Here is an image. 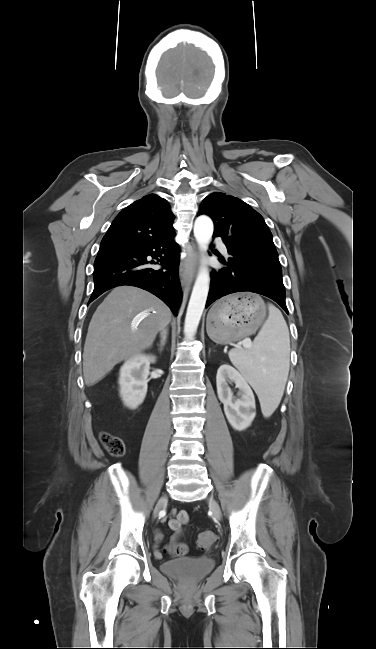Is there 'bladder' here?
Instances as JSON below:
<instances>
[{
    "label": "bladder",
    "instance_id": "1",
    "mask_svg": "<svg viewBox=\"0 0 376 649\" xmlns=\"http://www.w3.org/2000/svg\"><path fill=\"white\" fill-rule=\"evenodd\" d=\"M215 562L212 558H181L165 561L161 565V570L168 575L180 578L186 581H198L207 575L214 567Z\"/></svg>",
    "mask_w": 376,
    "mask_h": 649
}]
</instances>
